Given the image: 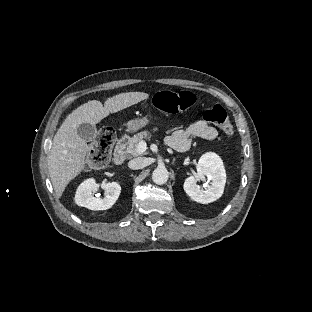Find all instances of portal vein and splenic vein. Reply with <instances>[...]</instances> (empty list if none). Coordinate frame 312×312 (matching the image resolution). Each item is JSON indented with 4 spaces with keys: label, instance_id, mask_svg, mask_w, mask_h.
Returning <instances> with one entry per match:
<instances>
[{
    "label": "portal vein and splenic vein",
    "instance_id": "1",
    "mask_svg": "<svg viewBox=\"0 0 312 312\" xmlns=\"http://www.w3.org/2000/svg\"><path fill=\"white\" fill-rule=\"evenodd\" d=\"M146 150L147 144L144 141H141L135 149V155L143 154L144 152H146Z\"/></svg>",
    "mask_w": 312,
    "mask_h": 312
}]
</instances>
